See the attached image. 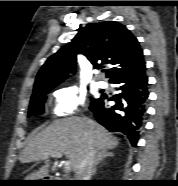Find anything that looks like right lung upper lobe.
<instances>
[{
	"instance_id": "obj_1",
	"label": "right lung upper lobe",
	"mask_w": 178,
	"mask_h": 186,
	"mask_svg": "<svg viewBox=\"0 0 178 186\" xmlns=\"http://www.w3.org/2000/svg\"><path fill=\"white\" fill-rule=\"evenodd\" d=\"M78 53L85 55L94 68L113 65L106 72L109 79L144 60L139 42L124 25L111 21L91 23L47 59L37 74L32 95L55 87L68 73H74Z\"/></svg>"
}]
</instances>
